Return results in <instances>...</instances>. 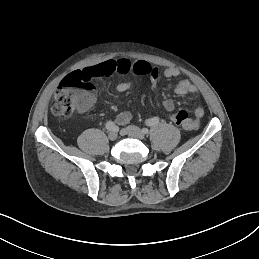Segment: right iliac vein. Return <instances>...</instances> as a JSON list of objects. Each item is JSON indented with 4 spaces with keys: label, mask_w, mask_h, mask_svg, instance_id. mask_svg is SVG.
Wrapping results in <instances>:
<instances>
[{
    "label": "right iliac vein",
    "mask_w": 259,
    "mask_h": 259,
    "mask_svg": "<svg viewBox=\"0 0 259 259\" xmlns=\"http://www.w3.org/2000/svg\"><path fill=\"white\" fill-rule=\"evenodd\" d=\"M118 137V134L116 131H111L108 133V138L111 140V141H114L116 140Z\"/></svg>",
    "instance_id": "63e3f726"
}]
</instances>
